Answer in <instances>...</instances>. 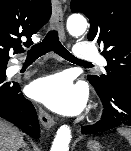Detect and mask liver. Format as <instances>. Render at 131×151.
I'll return each mask as SVG.
<instances>
[{"label":"liver","instance_id":"obj_1","mask_svg":"<svg viewBox=\"0 0 131 151\" xmlns=\"http://www.w3.org/2000/svg\"><path fill=\"white\" fill-rule=\"evenodd\" d=\"M23 143L21 132L0 119V151H18Z\"/></svg>","mask_w":131,"mask_h":151}]
</instances>
